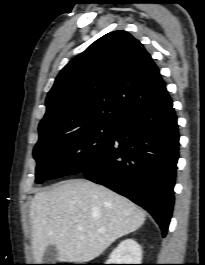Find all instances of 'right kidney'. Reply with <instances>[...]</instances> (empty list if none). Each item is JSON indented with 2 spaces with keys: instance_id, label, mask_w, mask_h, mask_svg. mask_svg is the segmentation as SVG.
Here are the masks:
<instances>
[{
  "instance_id": "right-kidney-1",
  "label": "right kidney",
  "mask_w": 205,
  "mask_h": 265,
  "mask_svg": "<svg viewBox=\"0 0 205 265\" xmlns=\"http://www.w3.org/2000/svg\"><path fill=\"white\" fill-rule=\"evenodd\" d=\"M141 259V246L134 239H126L113 250L106 264H141Z\"/></svg>"
}]
</instances>
